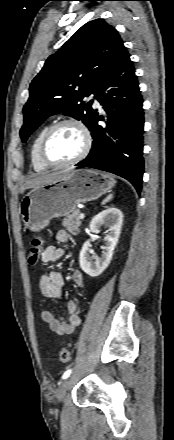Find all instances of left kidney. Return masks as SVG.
<instances>
[{"label": "left kidney", "instance_id": "left-kidney-1", "mask_svg": "<svg viewBox=\"0 0 174 440\" xmlns=\"http://www.w3.org/2000/svg\"><path fill=\"white\" fill-rule=\"evenodd\" d=\"M123 223L122 212L114 207L103 210L98 213L90 222V230L96 233L100 227L108 228V234L105 236V246L101 257H90L88 252L91 244L87 240L80 252L79 263L81 269L91 277L99 276L110 264L114 249L120 237Z\"/></svg>", "mask_w": 174, "mask_h": 440}]
</instances>
